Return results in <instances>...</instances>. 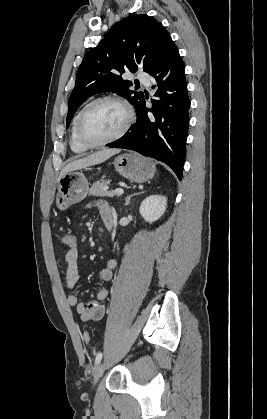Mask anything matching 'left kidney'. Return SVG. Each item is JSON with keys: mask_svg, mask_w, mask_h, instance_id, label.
I'll return each mask as SVG.
<instances>
[{"mask_svg": "<svg viewBox=\"0 0 267 419\" xmlns=\"http://www.w3.org/2000/svg\"><path fill=\"white\" fill-rule=\"evenodd\" d=\"M167 198L161 195H152L143 200L139 212L149 223L158 220L165 212Z\"/></svg>", "mask_w": 267, "mask_h": 419, "instance_id": "left-kidney-1", "label": "left kidney"}]
</instances>
